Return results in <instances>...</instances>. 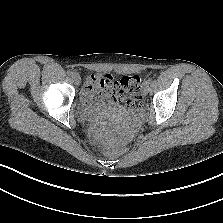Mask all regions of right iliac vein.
<instances>
[{"instance_id": "obj_1", "label": "right iliac vein", "mask_w": 223, "mask_h": 223, "mask_svg": "<svg viewBox=\"0 0 223 223\" xmlns=\"http://www.w3.org/2000/svg\"><path fill=\"white\" fill-rule=\"evenodd\" d=\"M72 78L77 85H79L81 83V77L78 73H74L72 75Z\"/></svg>"}]
</instances>
